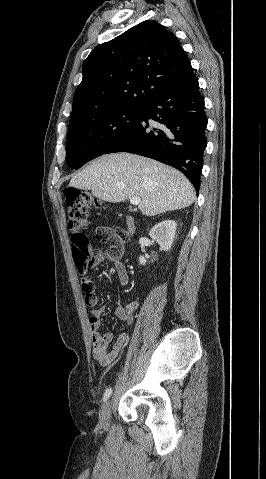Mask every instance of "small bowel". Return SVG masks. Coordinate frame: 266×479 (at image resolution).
<instances>
[{
	"instance_id": "obj_1",
	"label": "small bowel",
	"mask_w": 266,
	"mask_h": 479,
	"mask_svg": "<svg viewBox=\"0 0 266 479\" xmlns=\"http://www.w3.org/2000/svg\"><path fill=\"white\" fill-rule=\"evenodd\" d=\"M119 245V244H117ZM113 245L109 244L108 251H95L92 255L91 262L94 266H99L106 261L113 263L117 279L121 286H126L129 283V276L127 273L126 266L119 261L120 257L112 258L110 255V249ZM139 308L138 301H132L125 307L121 306L120 303L114 311L115 316L126 322L128 325H131L134 320V315ZM104 314V305L100 304L96 306L89 318V327L91 331V340H92V355L94 359L99 362L101 365L111 364L120 354L123 347L125 346L128 340V334L123 332L121 333L116 341L113 343L112 348H109L110 343L113 339V334L111 332H100L101 319Z\"/></svg>"
}]
</instances>
